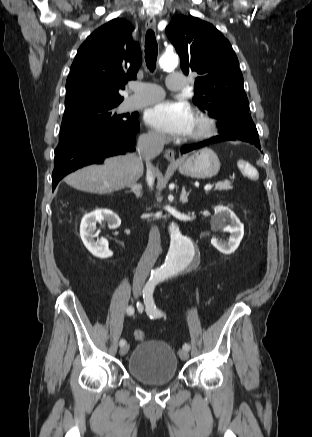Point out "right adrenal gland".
Wrapping results in <instances>:
<instances>
[{
  "mask_svg": "<svg viewBox=\"0 0 312 437\" xmlns=\"http://www.w3.org/2000/svg\"><path fill=\"white\" fill-rule=\"evenodd\" d=\"M126 192H132L135 194L137 198H141L142 196V185L139 183H135L130 187V191Z\"/></svg>",
  "mask_w": 312,
  "mask_h": 437,
  "instance_id": "2a0ac1e0",
  "label": "right adrenal gland"
}]
</instances>
